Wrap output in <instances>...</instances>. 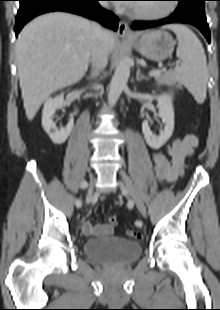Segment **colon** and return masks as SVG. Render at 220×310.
<instances>
[{
    "label": "colon",
    "instance_id": "1",
    "mask_svg": "<svg viewBox=\"0 0 220 310\" xmlns=\"http://www.w3.org/2000/svg\"><path fill=\"white\" fill-rule=\"evenodd\" d=\"M109 222L112 225H116L117 222H118V219H117V217L115 215H113V216L109 217ZM127 235L130 236V237H133V238H139L141 236V234L139 232H136L134 230H128L127 231Z\"/></svg>",
    "mask_w": 220,
    "mask_h": 310
}]
</instances>
